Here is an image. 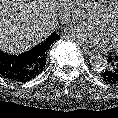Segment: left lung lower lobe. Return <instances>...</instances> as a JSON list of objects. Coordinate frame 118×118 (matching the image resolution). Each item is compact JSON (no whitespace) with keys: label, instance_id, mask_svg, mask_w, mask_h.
Listing matches in <instances>:
<instances>
[{"label":"left lung lower lobe","instance_id":"1","mask_svg":"<svg viewBox=\"0 0 118 118\" xmlns=\"http://www.w3.org/2000/svg\"><path fill=\"white\" fill-rule=\"evenodd\" d=\"M108 65L101 73V77L105 82L110 84H118V55L108 57Z\"/></svg>","mask_w":118,"mask_h":118}]
</instances>
